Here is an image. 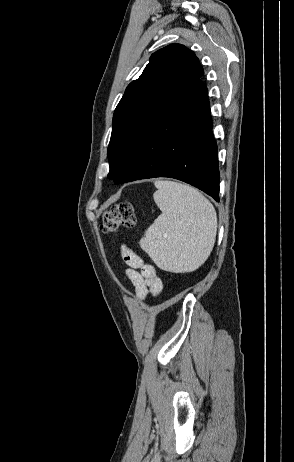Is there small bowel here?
<instances>
[{
  "instance_id": "c3829d8e",
  "label": "small bowel",
  "mask_w": 294,
  "mask_h": 462,
  "mask_svg": "<svg viewBox=\"0 0 294 462\" xmlns=\"http://www.w3.org/2000/svg\"><path fill=\"white\" fill-rule=\"evenodd\" d=\"M121 255L128 266L126 274L135 287L136 296L144 300L149 295L157 296L162 289V281L154 266L144 264L143 260L129 247H121Z\"/></svg>"
}]
</instances>
